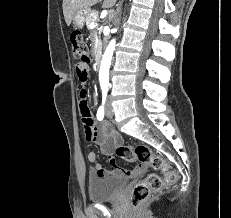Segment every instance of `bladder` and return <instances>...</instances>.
Here are the masks:
<instances>
[{
    "instance_id": "obj_1",
    "label": "bladder",
    "mask_w": 231,
    "mask_h": 218,
    "mask_svg": "<svg viewBox=\"0 0 231 218\" xmlns=\"http://www.w3.org/2000/svg\"><path fill=\"white\" fill-rule=\"evenodd\" d=\"M127 184V179L119 176H98L88 178V197L92 203L114 200Z\"/></svg>"
}]
</instances>
